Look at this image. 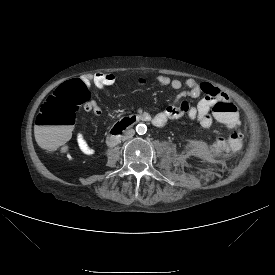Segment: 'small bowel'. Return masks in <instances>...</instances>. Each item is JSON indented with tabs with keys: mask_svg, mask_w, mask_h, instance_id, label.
<instances>
[{
	"mask_svg": "<svg viewBox=\"0 0 275 275\" xmlns=\"http://www.w3.org/2000/svg\"><path fill=\"white\" fill-rule=\"evenodd\" d=\"M82 80L87 85L101 88L113 84L115 77L110 73H98L86 75ZM157 82L162 86H169L179 92L175 97L173 105L166 107L156 114L152 115L141 109L137 110L136 116L142 117L143 121L151 122L156 127H164L170 120L187 116L189 119L197 122L201 128H210L214 122V116L211 111L216 102L222 99L229 100L227 94L210 83H199L192 78L186 80V89H183L181 80L171 78L167 75H159ZM199 97L201 98L195 104L187 101L188 98L196 99ZM86 110L93 112L95 115H101V109L95 103L87 104ZM238 127L232 129V133L228 135L224 133L218 134L207 144V151L210 154H216L223 158L239 153L243 149L244 143L242 137L239 135ZM77 146L86 155H92L95 152L83 133H78L77 135Z\"/></svg>",
	"mask_w": 275,
	"mask_h": 275,
	"instance_id": "1",
	"label": "small bowel"
}]
</instances>
